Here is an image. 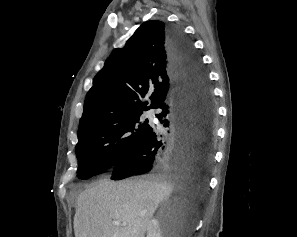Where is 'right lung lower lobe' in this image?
Segmentation results:
<instances>
[{
    "instance_id": "right-lung-lower-lobe-1",
    "label": "right lung lower lobe",
    "mask_w": 297,
    "mask_h": 237,
    "mask_svg": "<svg viewBox=\"0 0 297 237\" xmlns=\"http://www.w3.org/2000/svg\"><path fill=\"white\" fill-rule=\"evenodd\" d=\"M170 66L175 89L158 106L164 133L151 128L145 139L113 168L111 179L148 173L208 174L213 161L212 89L191 41L178 27H168Z\"/></svg>"
}]
</instances>
